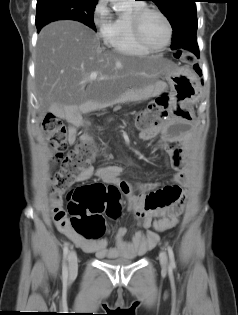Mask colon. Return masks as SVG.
Returning a JSON list of instances; mask_svg holds the SVG:
<instances>
[{
  "label": "colon",
  "mask_w": 238,
  "mask_h": 315,
  "mask_svg": "<svg viewBox=\"0 0 238 315\" xmlns=\"http://www.w3.org/2000/svg\"><path fill=\"white\" fill-rule=\"evenodd\" d=\"M177 58L192 65L197 75L201 76L202 69L192 54L177 51ZM169 97L162 94L149 107L140 113L136 119L137 127L142 130L154 129L158 122L167 115ZM45 137L52 147V161L60 164V170L55 173L50 184V191L57 192L67 189L75 177L93 161L96 153L94 143L90 138H83L67 154V128L53 114L46 115L43 121ZM120 190L117 186L94 183L75 188L69 194V212L72 228L88 240L99 238L104 232V217L116 219L120 215ZM173 227L170 218H162L155 222V228L160 231Z\"/></svg>",
  "instance_id": "1"
}]
</instances>
